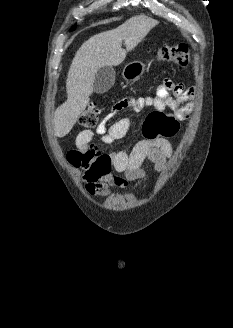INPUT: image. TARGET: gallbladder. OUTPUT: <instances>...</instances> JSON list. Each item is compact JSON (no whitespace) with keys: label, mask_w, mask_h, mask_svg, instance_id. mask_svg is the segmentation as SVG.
Returning <instances> with one entry per match:
<instances>
[{"label":"gallbladder","mask_w":233,"mask_h":328,"mask_svg":"<svg viewBox=\"0 0 233 328\" xmlns=\"http://www.w3.org/2000/svg\"><path fill=\"white\" fill-rule=\"evenodd\" d=\"M115 82V71L111 66H104L100 68L94 77V92L102 94L107 92Z\"/></svg>","instance_id":"gallbladder-1"}]
</instances>
